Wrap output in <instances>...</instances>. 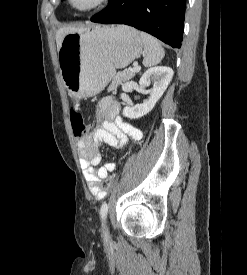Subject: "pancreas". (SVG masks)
Here are the masks:
<instances>
[{
  "instance_id": "1",
  "label": "pancreas",
  "mask_w": 247,
  "mask_h": 275,
  "mask_svg": "<svg viewBox=\"0 0 247 275\" xmlns=\"http://www.w3.org/2000/svg\"><path fill=\"white\" fill-rule=\"evenodd\" d=\"M134 76H135V73L129 70H125L117 73V75L114 77L113 81L111 82L110 86L108 87V91H116L118 85L122 84L123 82L129 81Z\"/></svg>"
}]
</instances>
